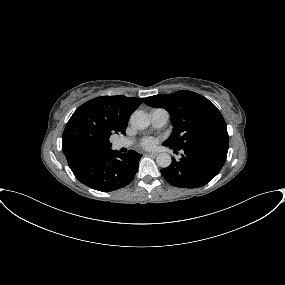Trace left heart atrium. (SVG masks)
Masks as SVG:
<instances>
[{"instance_id":"obj_1","label":"left heart atrium","mask_w":285,"mask_h":285,"mask_svg":"<svg viewBox=\"0 0 285 285\" xmlns=\"http://www.w3.org/2000/svg\"><path fill=\"white\" fill-rule=\"evenodd\" d=\"M156 142H157L156 139L148 137L142 140L141 146L143 148L149 149L154 147Z\"/></svg>"}]
</instances>
